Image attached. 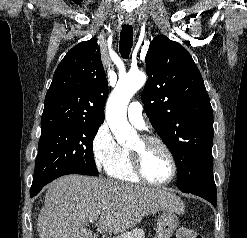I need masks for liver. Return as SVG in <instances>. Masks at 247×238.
I'll use <instances>...</instances> for the list:
<instances>
[{
    "label": "liver",
    "instance_id": "liver-1",
    "mask_svg": "<svg viewBox=\"0 0 247 238\" xmlns=\"http://www.w3.org/2000/svg\"><path fill=\"white\" fill-rule=\"evenodd\" d=\"M182 208L178 196L160 188L67 175L48 185L37 228L40 238H92L85 229L90 219H98V232L118 234L149 214Z\"/></svg>",
    "mask_w": 247,
    "mask_h": 238
}]
</instances>
